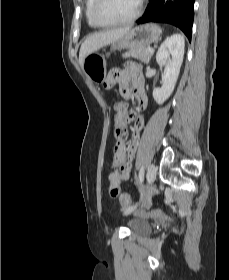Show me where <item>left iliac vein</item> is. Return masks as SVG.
<instances>
[{
	"mask_svg": "<svg viewBox=\"0 0 229 280\" xmlns=\"http://www.w3.org/2000/svg\"><path fill=\"white\" fill-rule=\"evenodd\" d=\"M156 166L154 164H150L147 170V174H146V179H147V184L148 186L152 185V183L154 182L155 178H156ZM133 208H128L125 210V214H130L132 212Z\"/></svg>",
	"mask_w": 229,
	"mask_h": 280,
	"instance_id": "obj_1",
	"label": "left iliac vein"
}]
</instances>
